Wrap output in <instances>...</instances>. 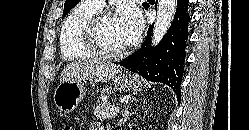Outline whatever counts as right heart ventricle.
<instances>
[{
  "instance_id": "1",
  "label": "right heart ventricle",
  "mask_w": 249,
  "mask_h": 130,
  "mask_svg": "<svg viewBox=\"0 0 249 130\" xmlns=\"http://www.w3.org/2000/svg\"><path fill=\"white\" fill-rule=\"evenodd\" d=\"M101 8L90 0H81L62 23L59 35L61 56L64 60H76L93 57L85 47L82 32L87 20Z\"/></svg>"
}]
</instances>
